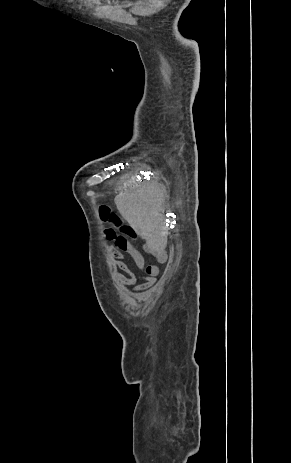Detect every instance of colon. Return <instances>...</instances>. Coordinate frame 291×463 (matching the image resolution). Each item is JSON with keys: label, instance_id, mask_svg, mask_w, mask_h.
I'll list each match as a JSON object with an SVG mask.
<instances>
[{"label": "colon", "instance_id": "colon-1", "mask_svg": "<svg viewBox=\"0 0 291 463\" xmlns=\"http://www.w3.org/2000/svg\"><path fill=\"white\" fill-rule=\"evenodd\" d=\"M99 217L102 222L110 224V227L102 229V240L108 242L115 235H121L132 240L138 238L134 229L119 219V217L113 212V210L107 205H101L99 207Z\"/></svg>", "mask_w": 291, "mask_h": 463}]
</instances>
